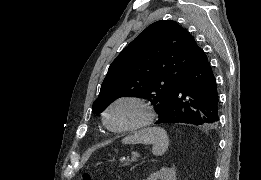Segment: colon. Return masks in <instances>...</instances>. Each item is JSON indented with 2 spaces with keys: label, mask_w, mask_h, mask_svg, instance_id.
I'll return each instance as SVG.
<instances>
[{
  "label": "colon",
  "mask_w": 261,
  "mask_h": 180,
  "mask_svg": "<svg viewBox=\"0 0 261 180\" xmlns=\"http://www.w3.org/2000/svg\"><path fill=\"white\" fill-rule=\"evenodd\" d=\"M91 179V176L89 173H81L79 175V180H90Z\"/></svg>",
  "instance_id": "1"
}]
</instances>
